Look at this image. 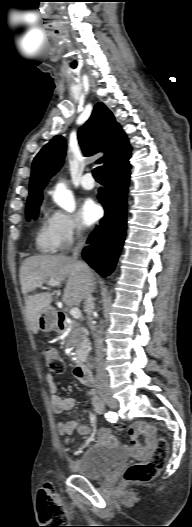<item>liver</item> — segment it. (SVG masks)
I'll return each mask as SVG.
<instances>
[{"mask_svg": "<svg viewBox=\"0 0 192 527\" xmlns=\"http://www.w3.org/2000/svg\"><path fill=\"white\" fill-rule=\"evenodd\" d=\"M55 280L65 282L62 302L69 307H79L87 291L93 290L95 276L90 268L69 256L35 255L26 258L20 267V283L25 300V314L30 330L39 331L40 314L50 307L55 291L29 295L39 284Z\"/></svg>", "mask_w": 192, "mask_h": 527, "instance_id": "1", "label": "liver"}]
</instances>
